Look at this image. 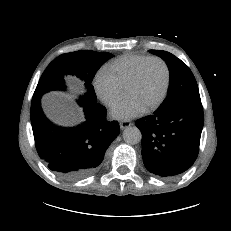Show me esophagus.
<instances>
[{
	"instance_id": "1",
	"label": "esophagus",
	"mask_w": 231,
	"mask_h": 231,
	"mask_svg": "<svg viewBox=\"0 0 231 231\" xmlns=\"http://www.w3.org/2000/svg\"><path fill=\"white\" fill-rule=\"evenodd\" d=\"M119 125H120V129L124 130V129L128 128L129 126H131L132 123L130 121H121L119 123Z\"/></svg>"
}]
</instances>
